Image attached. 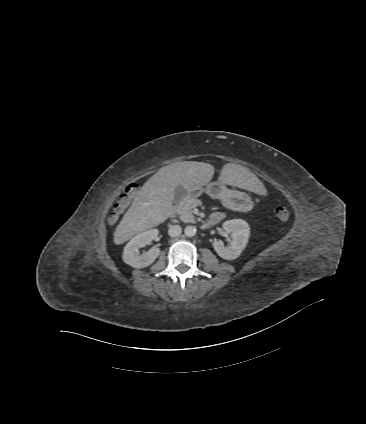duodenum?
Wrapping results in <instances>:
<instances>
[{
	"label": "duodenum",
	"instance_id": "410a0bca",
	"mask_svg": "<svg viewBox=\"0 0 366 424\" xmlns=\"http://www.w3.org/2000/svg\"><path fill=\"white\" fill-rule=\"evenodd\" d=\"M215 224H216V222H215L214 220L209 219L208 221H206V222H204V223H203L202 227H203L204 229H209V228H211L212 226H214Z\"/></svg>",
	"mask_w": 366,
	"mask_h": 424
}]
</instances>
